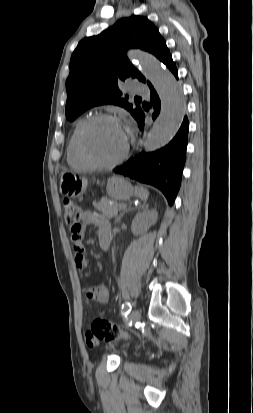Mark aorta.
I'll return each instance as SVG.
<instances>
[{
    "label": "aorta",
    "mask_w": 253,
    "mask_h": 413,
    "mask_svg": "<svg viewBox=\"0 0 253 413\" xmlns=\"http://www.w3.org/2000/svg\"><path fill=\"white\" fill-rule=\"evenodd\" d=\"M129 55L153 84L161 100L160 114L142 141L146 152L155 151L167 145L179 130L185 114L184 97L173 75L154 56L139 50Z\"/></svg>",
    "instance_id": "obj_1"
}]
</instances>
